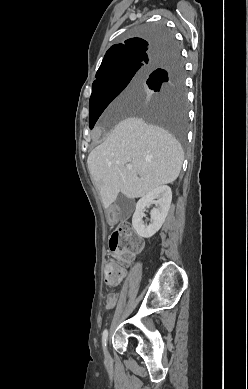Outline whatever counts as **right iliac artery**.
Here are the masks:
<instances>
[{
	"label": "right iliac artery",
	"instance_id": "obj_1",
	"mask_svg": "<svg viewBox=\"0 0 248 389\" xmlns=\"http://www.w3.org/2000/svg\"><path fill=\"white\" fill-rule=\"evenodd\" d=\"M107 337H108V331L104 330L102 334V342H103V347L105 349L106 343H107Z\"/></svg>",
	"mask_w": 248,
	"mask_h": 389
}]
</instances>
